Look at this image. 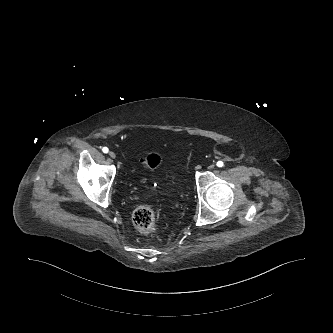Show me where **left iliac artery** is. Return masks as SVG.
Returning <instances> with one entry per match:
<instances>
[{
    "label": "left iliac artery",
    "instance_id": "left-iliac-artery-1",
    "mask_svg": "<svg viewBox=\"0 0 333 333\" xmlns=\"http://www.w3.org/2000/svg\"><path fill=\"white\" fill-rule=\"evenodd\" d=\"M218 167H223L224 166V163L222 161H218L217 164H216Z\"/></svg>",
    "mask_w": 333,
    "mask_h": 333
}]
</instances>
